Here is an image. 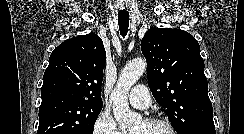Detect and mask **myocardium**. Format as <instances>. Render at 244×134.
Returning <instances> with one entry per match:
<instances>
[{
  "label": "myocardium",
  "mask_w": 244,
  "mask_h": 134,
  "mask_svg": "<svg viewBox=\"0 0 244 134\" xmlns=\"http://www.w3.org/2000/svg\"><path fill=\"white\" fill-rule=\"evenodd\" d=\"M144 122L148 125H162L169 130L170 134H178V132L175 129V127L173 126V124L171 122H169L168 120L160 119V118H151V119L145 120Z\"/></svg>",
  "instance_id": "obj_1"
}]
</instances>
